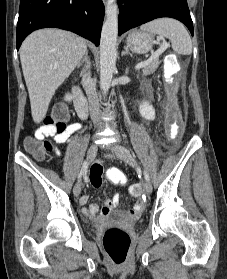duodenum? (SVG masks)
I'll list each match as a JSON object with an SVG mask.
<instances>
[{
  "label": "duodenum",
  "mask_w": 227,
  "mask_h": 279,
  "mask_svg": "<svg viewBox=\"0 0 227 279\" xmlns=\"http://www.w3.org/2000/svg\"><path fill=\"white\" fill-rule=\"evenodd\" d=\"M73 103L78 116L85 120L88 115V102L79 86L72 88Z\"/></svg>",
  "instance_id": "410a0bca"
}]
</instances>
